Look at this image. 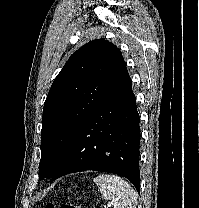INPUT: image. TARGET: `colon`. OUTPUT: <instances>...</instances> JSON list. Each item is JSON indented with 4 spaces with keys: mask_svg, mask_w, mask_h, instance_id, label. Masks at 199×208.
<instances>
[{
    "mask_svg": "<svg viewBox=\"0 0 199 208\" xmlns=\"http://www.w3.org/2000/svg\"><path fill=\"white\" fill-rule=\"evenodd\" d=\"M45 208H57V206L54 203H48ZM59 208H86V207H81L80 205L75 204L73 202H65L61 204Z\"/></svg>",
    "mask_w": 199,
    "mask_h": 208,
    "instance_id": "obj_1",
    "label": "colon"
}]
</instances>
